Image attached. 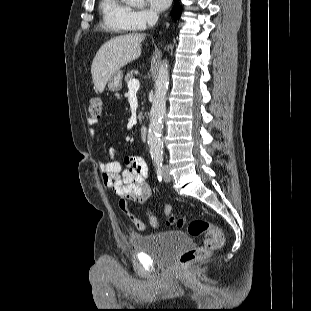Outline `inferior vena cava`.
<instances>
[{
	"label": "inferior vena cava",
	"instance_id": "obj_1",
	"mask_svg": "<svg viewBox=\"0 0 311 311\" xmlns=\"http://www.w3.org/2000/svg\"><path fill=\"white\" fill-rule=\"evenodd\" d=\"M158 21V16L157 14L155 13H151L148 15L147 17V23H148V26L151 28L153 27Z\"/></svg>",
	"mask_w": 311,
	"mask_h": 311
}]
</instances>
